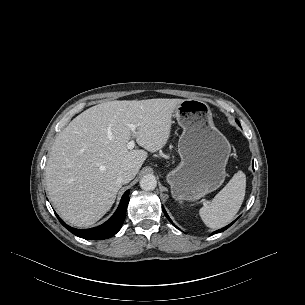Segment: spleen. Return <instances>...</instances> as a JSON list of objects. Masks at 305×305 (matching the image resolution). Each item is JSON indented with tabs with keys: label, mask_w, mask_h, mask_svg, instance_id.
I'll use <instances>...</instances> for the list:
<instances>
[{
	"label": "spleen",
	"mask_w": 305,
	"mask_h": 305,
	"mask_svg": "<svg viewBox=\"0 0 305 305\" xmlns=\"http://www.w3.org/2000/svg\"><path fill=\"white\" fill-rule=\"evenodd\" d=\"M245 190L246 176L242 171H238L210 204L199 210L204 224L209 228L218 229L230 223L243 203Z\"/></svg>",
	"instance_id": "1"
}]
</instances>
